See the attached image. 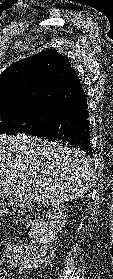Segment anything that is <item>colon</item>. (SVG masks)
Instances as JSON below:
<instances>
[{"label":"colon","mask_w":113,"mask_h":279,"mask_svg":"<svg viewBox=\"0 0 113 279\" xmlns=\"http://www.w3.org/2000/svg\"><path fill=\"white\" fill-rule=\"evenodd\" d=\"M52 248L45 224L34 220L29 225L28 242L21 247V251L11 250L0 242V274L3 265L15 266L19 262L22 264L31 259H43L52 253Z\"/></svg>","instance_id":"obj_1"}]
</instances>
